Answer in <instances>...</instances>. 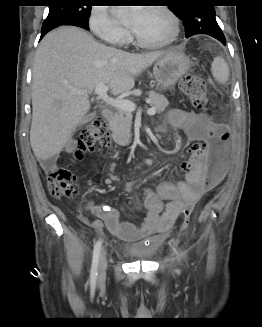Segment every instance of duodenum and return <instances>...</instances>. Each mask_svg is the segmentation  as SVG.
<instances>
[{"label":"duodenum","mask_w":262,"mask_h":327,"mask_svg":"<svg viewBox=\"0 0 262 327\" xmlns=\"http://www.w3.org/2000/svg\"><path fill=\"white\" fill-rule=\"evenodd\" d=\"M102 116L104 117V119L107 121V122H111L112 118H113V113L110 109H104L102 111Z\"/></svg>","instance_id":"1"}]
</instances>
